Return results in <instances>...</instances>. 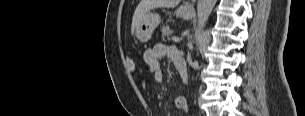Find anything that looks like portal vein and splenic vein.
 Here are the masks:
<instances>
[{
	"mask_svg": "<svg viewBox=\"0 0 305 116\" xmlns=\"http://www.w3.org/2000/svg\"><path fill=\"white\" fill-rule=\"evenodd\" d=\"M172 40H173L174 42H179V41H180V38L174 36V37H172Z\"/></svg>",
	"mask_w": 305,
	"mask_h": 116,
	"instance_id": "1",
	"label": "portal vein and splenic vein"
}]
</instances>
